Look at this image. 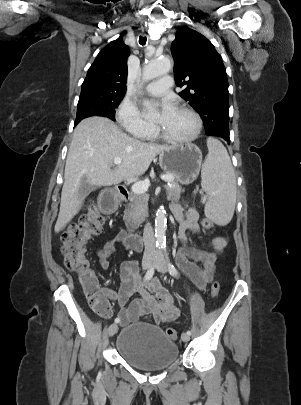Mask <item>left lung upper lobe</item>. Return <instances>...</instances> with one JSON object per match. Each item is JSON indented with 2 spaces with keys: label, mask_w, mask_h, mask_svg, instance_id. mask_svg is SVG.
Instances as JSON below:
<instances>
[{
  "label": "left lung upper lobe",
  "mask_w": 301,
  "mask_h": 405,
  "mask_svg": "<svg viewBox=\"0 0 301 405\" xmlns=\"http://www.w3.org/2000/svg\"><path fill=\"white\" fill-rule=\"evenodd\" d=\"M171 45L179 95L200 114L207 135L229 133V92L220 54L202 34L181 28Z\"/></svg>",
  "instance_id": "1"
}]
</instances>
